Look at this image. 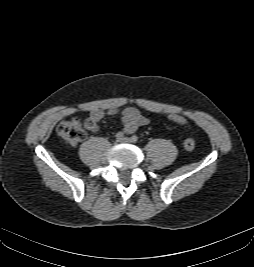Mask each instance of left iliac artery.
I'll return each instance as SVG.
<instances>
[{
  "label": "left iliac artery",
  "mask_w": 254,
  "mask_h": 267,
  "mask_svg": "<svg viewBox=\"0 0 254 267\" xmlns=\"http://www.w3.org/2000/svg\"><path fill=\"white\" fill-rule=\"evenodd\" d=\"M131 141H132L133 143H136V142L138 141V137H137L136 135H133V136L131 137Z\"/></svg>",
  "instance_id": "obj_1"
}]
</instances>
